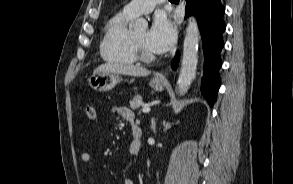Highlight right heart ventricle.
<instances>
[{"mask_svg": "<svg viewBox=\"0 0 293 184\" xmlns=\"http://www.w3.org/2000/svg\"><path fill=\"white\" fill-rule=\"evenodd\" d=\"M133 17L123 11L112 16L104 27L100 43L101 57L111 63L132 64L137 59L134 55L128 23Z\"/></svg>", "mask_w": 293, "mask_h": 184, "instance_id": "right-heart-ventricle-1", "label": "right heart ventricle"}]
</instances>
